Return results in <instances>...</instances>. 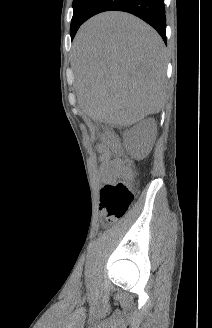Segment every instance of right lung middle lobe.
I'll return each mask as SVG.
<instances>
[{
	"instance_id": "1",
	"label": "right lung middle lobe",
	"mask_w": 212,
	"mask_h": 328,
	"mask_svg": "<svg viewBox=\"0 0 212 328\" xmlns=\"http://www.w3.org/2000/svg\"><path fill=\"white\" fill-rule=\"evenodd\" d=\"M95 0H73V18L71 21V36L85 22L88 11Z\"/></svg>"
}]
</instances>
